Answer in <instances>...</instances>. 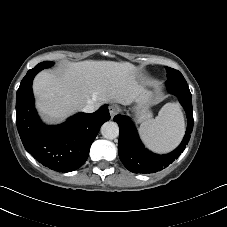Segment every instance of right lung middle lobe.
<instances>
[{
	"label": "right lung middle lobe",
	"mask_w": 227,
	"mask_h": 227,
	"mask_svg": "<svg viewBox=\"0 0 227 227\" xmlns=\"http://www.w3.org/2000/svg\"><path fill=\"white\" fill-rule=\"evenodd\" d=\"M53 64H54L53 62L45 61V62L39 63V64L36 65L33 69L42 70V69H44V68L51 67Z\"/></svg>",
	"instance_id": "right-lung-middle-lobe-1"
}]
</instances>
